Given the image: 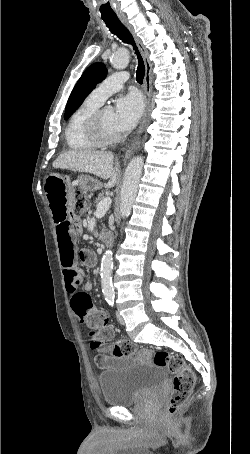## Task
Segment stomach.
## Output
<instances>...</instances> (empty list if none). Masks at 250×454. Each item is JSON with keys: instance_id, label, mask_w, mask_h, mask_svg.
Segmentation results:
<instances>
[{"instance_id": "obj_1", "label": "stomach", "mask_w": 250, "mask_h": 454, "mask_svg": "<svg viewBox=\"0 0 250 454\" xmlns=\"http://www.w3.org/2000/svg\"><path fill=\"white\" fill-rule=\"evenodd\" d=\"M48 176H61V175H59L57 173H51ZM44 184H45V181H44ZM70 185H71V183H70ZM84 187L89 190H94V189H97L99 187V185H98L97 181L94 180L93 178L84 177Z\"/></svg>"}]
</instances>
